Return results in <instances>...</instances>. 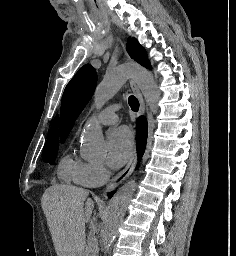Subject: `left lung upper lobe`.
I'll list each match as a JSON object with an SVG mask.
<instances>
[{
    "mask_svg": "<svg viewBox=\"0 0 236 256\" xmlns=\"http://www.w3.org/2000/svg\"><path fill=\"white\" fill-rule=\"evenodd\" d=\"M127 51L131 58L146 68H151L147 53L134 38L128 39ZM97 83L95 69L86 64L79 69L64 90L60 112V137L64 143L75 120L91 99Z\"/></svg>",
    "mask_w": 236,
    "mask_h": 256,
    "instance_id": "left-lung-upper-lobe-1",
    "label": "left lung upper lobe"
}]
</instances>
